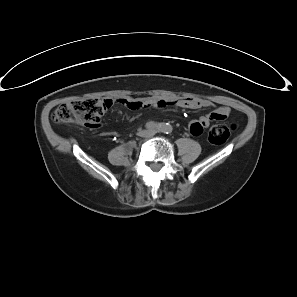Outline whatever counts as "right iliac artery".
Masks as SVG:
<instances>
[{"label": "right iliac artery", "instance_id": "1", "mask_svg": "<svg viewBox=\"0 0 297 297\" xmlns=\"http://www.w3.org/2000/svg\"><path fill=\"white\" fill-rule=\"evenodd\" d=\"M157 128H158L159 130H161V129L163 128V124H162V123L157 124Z\"/></svg>", "mask_w": 297, "mask_h": 297}]
</instances>
